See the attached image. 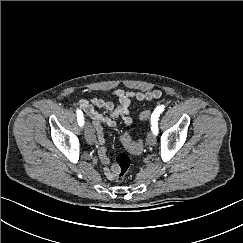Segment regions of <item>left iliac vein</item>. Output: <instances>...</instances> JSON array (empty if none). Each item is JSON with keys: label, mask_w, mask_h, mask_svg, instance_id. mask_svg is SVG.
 <instances>
[{"label": "left iliac vein", "mask_w": 243, "mask_h": 243, "mask_svg": "<svg viewBox=\"0 0 243 243\" xmlns=\"http://www.w3.org/2000/svg\"><path fill=\"white\" fill-rule=\"evenodd\" d=\"M147 144L153 146L156 144V136L153 132H149L146 138Z\"/></svg>", "instance_id": "4c4485c4"}]
</instances>
